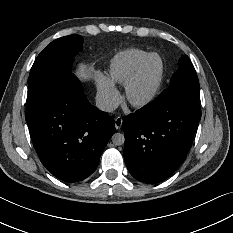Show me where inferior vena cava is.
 I'll return each instance as SVG.
<instances>
[{
	"instance_id": "inferior-vena-cava-1",
	"label": "inferior vena cava",
	"mask_w": 233,
	"mask_h": 233,
	"mask_svg": "<svg viewBox=\"0 0 233 233\" xmlns=\"http://www.w3.org/2000/svg\"><path fill=\"white\" fill-rule=\"evenodd\" d=\"M96 106L99 110H102L105 112H112L118 107V104L112 101L111 99L98 97L96 99Z\"/></svg>"
}]
</instances>
